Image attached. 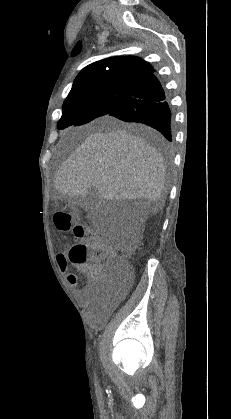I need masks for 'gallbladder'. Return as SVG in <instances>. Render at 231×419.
<instances>
[{
	"label": "gallbladder",
	"mask_w": 231,
	"mask_h": 419,
	"mask_svg": "<svg viewBox=\"0 0 231 419\" xmlns=\"http://www.w3.org/2000/svg\"><path fill=\"white\" fill-rule=\"evenodd\" d=\"M63 199L68 201L70 197L68 195H63ZM100 200L101 198L99 192L97 189L92 187L85 195L75 198L72 203L74 205H79L94 210L96 206H98Z\"/></svg>",
	"instance_id": "bac80fb5"
}]
</instances>
